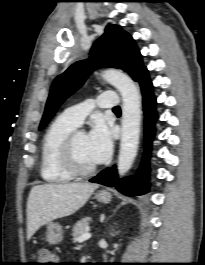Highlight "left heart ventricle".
<instances>
[{
	"instance_id": "b2bd125f",
	"label": "left heart ventricle",
	"mask_w": 205,
	"mask_h": 265,
	"mask_svg": "<svg viewBox=\"0 0 205 265\" xmlns=\"http://www.w3.org/2000/svg\"><path fill=\"white\" fill-rule=\"evenodd\" d=\"M74 150L77 163L81 167H90L95 165V162L92 160L89 153L87 135L85 133H80L77 135L75 139Z\"/></svg>"
}]
</instances>
